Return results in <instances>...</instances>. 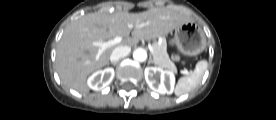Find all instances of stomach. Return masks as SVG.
I'll list each match as a JSON object with an SVG mask.
<instances>
[{
	"label": "stomach",
	"mask_w": 276,
	"mask_h": 120,
	"mask_svg": "<svg viewBox=\"0 0 276 120\" xmlns=\"http://www.w3.org/2000/svg\"><path fill=\"white\" fill-rule=\"evenodd\" d=\"M174 41L184 54L195 56L206 48V36L194 22H187L175 29Z\"/></svg>",
	"instance_id": "0dacf381"
}]
</instances>
